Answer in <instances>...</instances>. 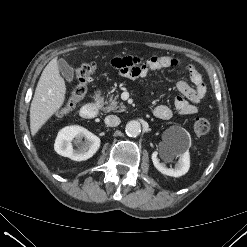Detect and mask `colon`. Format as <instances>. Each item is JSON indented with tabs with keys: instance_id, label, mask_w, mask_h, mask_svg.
Listing matches in <instances>:
<instances>
[{
	"instance_id": "1",
	"label": "colon",
	"mask_w": 247,
	"mask_h": 247,
	"mask_svg": "<svg viewBox=\"0 0 247 247\" xmlns=\"http://www.w3.org/2000/svg\"><path fill=\"white\" fill-rule=\"evenodd\" d=\"M96 66L88 62L81 64L75 73V84L70 90V95L62 111H70L86 94V85L94 73ZM194 132L198 135H205L210 130V122L206 118H197L193 124Z\"/></svg>"
}]
</instances>
